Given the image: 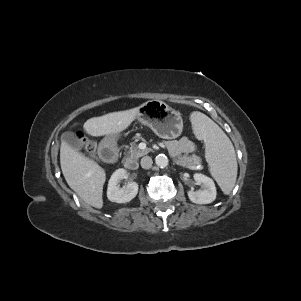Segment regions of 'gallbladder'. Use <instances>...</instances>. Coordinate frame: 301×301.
<instances>
[{"mask_svg":"<svg viewBox=\"0 0 301 301\" xmlns=\"http://www.w3.org/2000/svg\"><path fill=\"white\" fill-rule=\"evenodd\" d=\"M61 140L66 142L71 148L75 150H81L83 143L78 138V136L70 131L64 132L61 136Z\"/></svg>","mask_w":301,"mask_h":301,"instance_id":"1","label":"gallbladder"}]
</instances>
